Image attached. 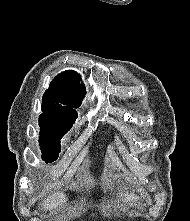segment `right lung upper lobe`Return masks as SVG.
Wrapping results in <instances>:
<instances>
[{
    "mask_svg": "<svg viewBox=\"0 0 190 221\" xmlns=\"http://www.w3.org/2000/svg\"><path fill=\"white\" fill-rule=\"evenodd\" d=\"M75 71L58 74L43 95L42 113L39 119L58 120L74 123L78 117L74 108L81 105L85 96V86Z\"/></svg>",
    "mask_w": 190,
    "mask_h": 221,
    "instance_id": "right-lung-upper-lobe-1",
    "label": "right lung upper lobe"
}]
</instances>
